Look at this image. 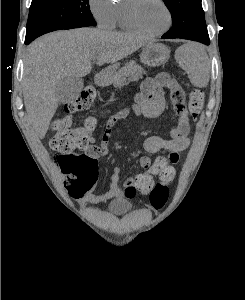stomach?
Returning a JSON list of instances; mask_svg holds the SVG:
<instances>
[{
  "label": "stomach",
  "mask_w": 245,
  "mask_h": 300,
  "mask_svg": "<svg viewBox=\"0 0 245 300\" xmlns=\"http://www.w3.org/2000/svg\"><path fill=\"white\" fill-rule=\"evenodd\" d=\"M169 57V49L160 43L146 45L140 55L141 62L150 67H156L165 64ZM117 68L118 65H114L106 70V76L109 80H113L115 78Z\"/></svg>",
  "instance_id": "stomach-1"
}]
</instances>
